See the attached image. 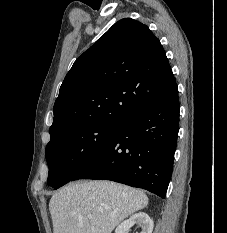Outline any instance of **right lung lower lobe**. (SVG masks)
I'll list each match as a JSON object with an SVG mask.
<instances>
[{
	"label": "right lung lower lobe",
	"instance_id": "1",
	"mask_svg": "<svg viewBox=\"0 0 227 233\" xmlns=\"http://www.w3.org/2000/svg\"><path fill=\"white\" fill-rule=\"evenodd\" d=\"M175 84L122 120L112 137L73 177L112 180L165 198L179 131Z\"/></svg>",
	"mask_w": 227,
	"mask_h": 233
}]
</instances>
